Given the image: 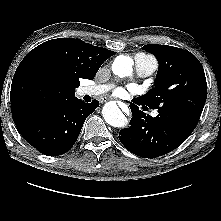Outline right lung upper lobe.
Instances as JSON below:
<instances>
[{
  "label": "right lung upper lobe",
  "mask_w": 221,
  "mask_h": 221,
  "mask_svg": "<svg viewBox=\"0 0 221 221\" xmlns=\"http://www.w3.org/2000/svg\"><path fill=\"white\" fill-rule=\"evenodd\" d=\"M115 53L73 38L52 39L31 50L12 80L14 122L31 112L77 99L79 80H92L104 61Z\"/></svg>",
  "instance_id": "cb5924a9"
}]
</instances>
